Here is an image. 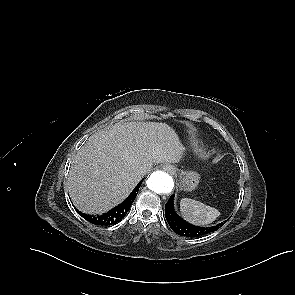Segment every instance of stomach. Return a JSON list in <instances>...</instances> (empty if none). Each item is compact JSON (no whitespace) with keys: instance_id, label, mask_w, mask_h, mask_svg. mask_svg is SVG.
I'll return each mask as SVG.
<instances>
[{"instance_id":"1","label":"stomach","mask_w":295,"mask_h":295,"mask_svg":"<svg viewBox=\"0 0 295 295\" xmlns=\"http://www.w3.org/2000/svg\"><path fill=\"white\" fill-rule=\"evenodd\" d=\"M200 180V175L194 171H180L179 172V185L184 191L194 190Z\"/></svg>"}]
</instances>
